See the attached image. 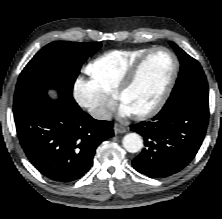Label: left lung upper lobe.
Listing matches in <instances>:
<instances>
[{"mask_svg":"<svg viewBox=\"0 0 222 219\" xmlns=\"http://www.w3.org/2000/svg\"><path fill=\"white\" fill-rule=\"evenodd\" d=\"M170 45L176 51L181 67L176 85L168 101L189 96L208 103V84L201 65L175 43L170 41Z\"/></svg>","mask_w":222,"mask_h":219,"instance_id":"obj_1","label":"left lung upper lobe"}]
</instances>
